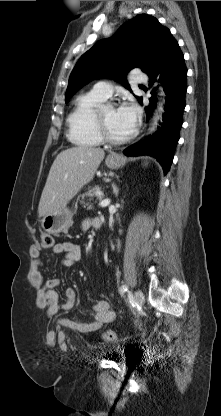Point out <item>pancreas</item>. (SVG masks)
<instances>
[{
    "mask_svg": "<svg viewBox=\"0 0 221 416\" xmlns=\"http://www.w3.org/2000/svg\"><path fill=\"white\" fill-rule=\"evenodd\" d=\"M98 192H101V188L99 186H95L92 189H90L87 193H85L84 195H82V199H84V197H89V200H91L93 197H96L97 200H101L104 195L101 194L99 195ZM82 204L85 205V207L87 206V209H92V205L89 203H85L84 201H81Z\"/></svg>",
    "mask_w": 221,
    "mask_h": 416,
    "instance_id": "obj_1",
    "label": "pancreas"
}]
</instances>
